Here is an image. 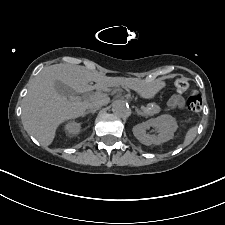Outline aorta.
Here are the masks:
<instances>
[{
	"instance_id": "aorta-1",
	"label": "aorta",
	"mask_w": 225,
	"mask_h": 225,
	"mask_svg": "<svg viewBox=\"0 0 225 225\" xmlns=\"http://www.w3.org/2000/svg\"><path fill=\"white\" fill-rule=\"evenodd\" d=\"M112 112L115 116L120 118H126L130 114L128 105L121 100H115L112 103Z\"/></svg>"
}]
</instances>
